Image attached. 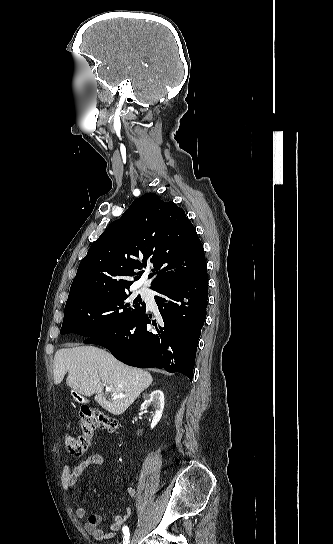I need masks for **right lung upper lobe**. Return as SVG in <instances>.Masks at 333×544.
I'll use <instances>...</instances> for the list:
<instances>
[{
	"instance_id": "cb5924a9",
	"label": "right lung upper lobe",
	"mask_w": 333,
	"mask_h": 544,
	"mask_svg": "<svg viewBox=\"0 0 333 544\" xmlns=\"http://www.w3.org/2000/svg\"><path fill=\"white\" fill-rule=\"evenodd\" d=\"M147 261L151 289L196 275L206 267L203 246L185 212L148 193L92 243L77 270L68 301L95 293L129 290Z\"/></svg>"
}]
</instances>
